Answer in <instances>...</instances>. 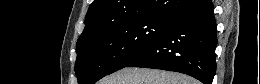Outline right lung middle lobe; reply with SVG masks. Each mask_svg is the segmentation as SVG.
<instances>
[{
	"instance_id": "obj_1",
	"label": "right lung middle lobe",
	"mask_w": 260,
	"mask_h": 84,
	"mask_svg": "<svg viewBox=\"0 0 260 84\" xmlns=\"http://www.w3.org/2000/svg\"><path fill=\"white\" fill-rule=\"evenodd\" d=\"M171 19L163 16L128 19L77 45L75 72L78 84H93L126 67L153 44Z\"/></svg>"
}]
</instances>
